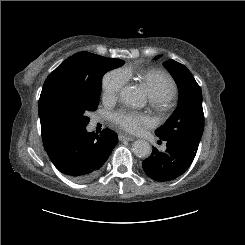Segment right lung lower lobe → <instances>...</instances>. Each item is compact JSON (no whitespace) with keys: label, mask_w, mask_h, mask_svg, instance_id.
<instances>
[{"label":"right lung lower lobe","mask_w":245,"mask_h":245,"mask_svg":"<svg viewBox=\"0 0 245 245\" xmlns=\"http://www.w3.org/2000/svg\"><path fill=\"white\" fill-rule=\"evenodd\" d=\"M117 142V135L109 129L98 136L83 128L57 138L45 150L58 170L82 182L99 173Z\"/></svg>","instance_id":"right-lung-lower-lobe-1"}]
</instances>
